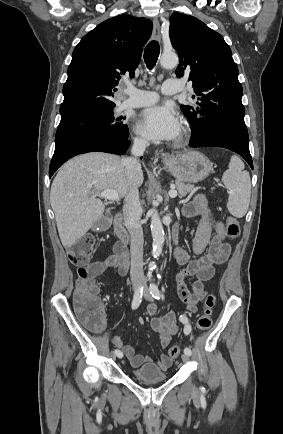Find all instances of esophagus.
Returning a JSON list of instances; mask_svg holds the SVG:
<instances>
[{
    "instance_id": "esophagus-1",
    "label": "esophagus",
    "mask_w": 283,
    "mask_h": 434,
    "mask_svg": "<svg viewBox=\"0 0 283 434\" xmlns=\"http://www.w3.org/2000/svg\"><path fill=\"white\" fill-rule=\"evenodd\" d=\"M153 37L157 40H161V33H160V24L157 19L153 20ZM161 158L163 161H168L171 159V155L168 153H162Z\"/></svg>"
}]
</instances>
